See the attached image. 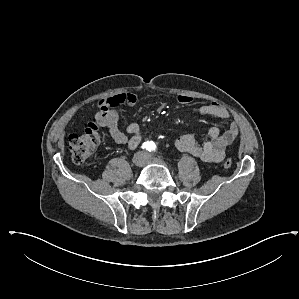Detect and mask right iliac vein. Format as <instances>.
Returning <instances> with one entry per match:
<instances>
[{"instance_id": "63e3f726", "label": "right iliac vein", "mask_w": 299, "mask_h": 299, "mask_svg": "<svg viewBox=\"0 0 299 299\" xmlns=\"http://www.w3.org/2000/svg\"><path fill=\"white\" fill-rule=\"evenodd\" d=\"M134 163H135L137 166H141V164H142V156H141V155H137V156L134 158Z\"/></svg>"}]
</instances>
